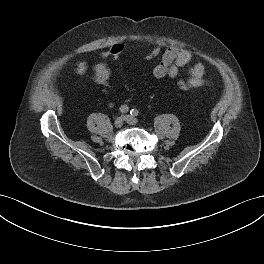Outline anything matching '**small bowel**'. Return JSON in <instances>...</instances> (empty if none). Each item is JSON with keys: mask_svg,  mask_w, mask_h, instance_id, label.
I'll use <instances>...</instances> for the list:
<instances>
[{"mask_svg": "<svg viewBox=\"0 0 264 264\" xmlns=\"http://www.w3.org/2000/svg\"><path fill=\"white\" fill-rule=\"evenodd\" d=\"M193 58V53L190 50L180 48L174 45L166 47L162 53L159 63L153 68L152 75L157 79L164 77L176 78L179 71ZM93 80L100 85L111 86V72L104 61L97 60L93 64ZM88 64L86 61L81 60L77 63L75 71L79 76H83L86 73ZM206 72L205 65L202 62H198L192 68H190L191 84L196 87H200L206 84L204 78Z\"/></svg>", "mask_w": 264, "mask_h": 264, "instance_id": "c3829d8e", "label": "small bowel"}]
</instances>
